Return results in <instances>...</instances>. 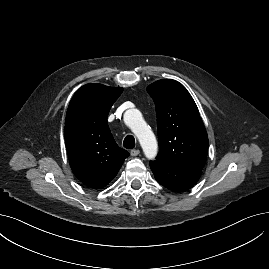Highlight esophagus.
Returning a JSON list of instances; mask_svg holds the SVG:
<instances>
[{
	"mask_svg": "<svg viewBox=\"0 0 269 269\" xmlns=\"http://www.w3.org/2000/svg\"><path fill=\"white\" fill-rule=\"evenodd\" d=\"M139 153H140V151L138 149H133L130 152L131 156H133V157L138 156Z\"/></svg>",
	"mask_w": 269,
	"mask_h": 269,
	"instance_id": "obj_1",
	"label": "esophagus"
}]
</instances>
